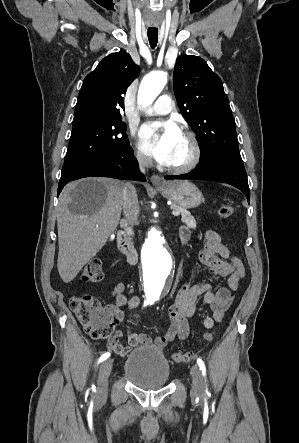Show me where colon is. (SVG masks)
<instances>
[{
	"label": "colon",
	"mask_w": 299,
	"mask_h": 443,
	"mask_svg": "<svg viewBox=\"0 0 299 443\" xmlns=\"http://www.w3.org/2000/svg\"><path fill=\"white\" fill-rule=\"evenodd\" d=\"M234 208L230 202L222 204L218 209L221 218L228 219L233 215ZM101 261L90 260L84 267L81 280L87 283H97L103 279ZM69 307L83 326L84 330L94 339L111 338L116 325L113 312L101 306L99 301L90 294L72 296L69 299ZM211 331L205 332L203 342L209 343L213 340ZM194 358L191 351H177L173 353L172 359L176 363H187Z\"/></svg>",
	"instance_id": "colon-1"
}]
</instances>
